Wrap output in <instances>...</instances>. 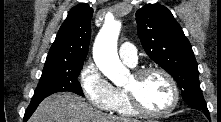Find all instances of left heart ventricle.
Returning <instances> with one entry per match:
<instances>
[{
    "label": "left heart ventricle",
    "mask_w": 221,
    "mask_h": 122,
    "mask_svg": "<svg viewBox=\"0 0 221 122\" xmlns=\"http://www.w3.org/2000/svg\"><path fill=\"white\" fill-rule=\"evenodd\" d=\"M127 87L134 88L142 104L152 111L164 110L172 101L170 85L158 73L148 74L139 82L132 77Z\"/></svg>",
    "instance_id": "b2bd125f"
}]
</instances>
